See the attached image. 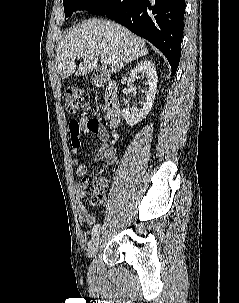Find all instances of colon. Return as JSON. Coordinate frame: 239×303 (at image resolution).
<instances>
[{"label": "colon", "instance_id": "colon-1", "mask_svg": "<svg viewBox=\"0 0 239 303\" xmlns=\"http://www.w3.org/2000/svg\"><path fill=\"white\" fill-rule=\"evenodd\" d=\"M66 110L69 114H77L88 108V95L82 90L75 87H68L65 90ZM82 186L86 193L91 195L93 204H100L104 200L103 186L100 180L84 176Z\"/></svg>", "mask_w": 239, "mask_h": 303}]
</instances>
